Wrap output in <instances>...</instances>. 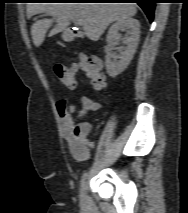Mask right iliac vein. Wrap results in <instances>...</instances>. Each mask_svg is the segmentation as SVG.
<instances>
[{"mask_svg":"<svg viewBox=\"0 0 188 213\" xmlns=\"http://www.w3.org/2000/svg\"><path fill=\"white\" fill-rule=\"evenodd\" d=\"M86 189H87L86 182H84L83 185H82V187H81V189H80V199L81 200L85 199Z\"/></svg>","mask_w":188,"mask_h":213,"instance_id":"63e3f726","label":"right iliac vein"}]
</instances>
